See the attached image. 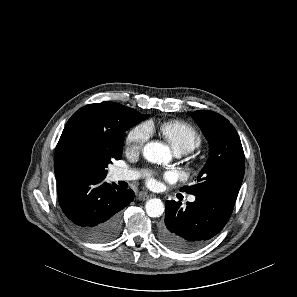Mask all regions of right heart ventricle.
<instances>
[{"instance_id": "e07e8e85", "label": "right heart ventricle", "mask_w": 297, "mask_h": 297, "mask_svg": "<svg viewBox=\"0 0 297 297\" xmlns=\"http://www.w3.org/2000/svg\"><path fill=\"white\" fill-rule=\"evenodd\" d=\"M160 133L176 152L186 153L192 151L201 143V137L197 129L185 121L173 120L166 122L160 126Z\"/></svg>"}]
</instances>
